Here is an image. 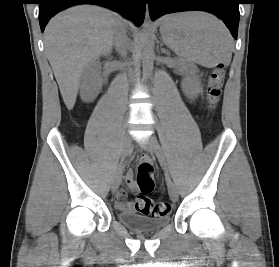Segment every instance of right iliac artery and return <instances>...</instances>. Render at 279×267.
I'll use <instances>...</instances> for the list:
<instances>
[{
    "label": "right iliac artery",
    "mask_w": 279,
    "mask_h": 267,
    "mask_svg": "<svg viewBox=\"0 0 279 267\" xmlns=\"http://www.w3.org/2000/svg\"><path fill=\"white\" fill-rule=\"evenodd\" d=\"M123 161H124V159H121V162H120V164H119V168H118L119 170H121V169H122V167H123V164H124V163H123Z\"/></svg>",
    "instance_id": "1"
}]
</instances>
